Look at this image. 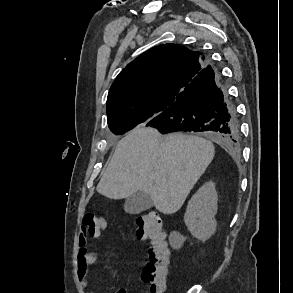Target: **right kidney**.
Returning a JSON list of instances; mask_svg holds the SVG:
<instances>
[{
  "label": "right kidney",
  "instance_id": "1",
  "mask_svg": "<svg viewBox=\"0 0 293 293\" xmlns=\"http://www.w3.org/2000/svg\"><path fill=\"white\" fill-rule=\"evenodd\" d=\"M217 192L215 184L205 183L188 202L184 222L191 234L199 240H207L216 231Z\"/></svg>",
  "mask_w": 293,
  "mask_h": 293
}]
</instances>
